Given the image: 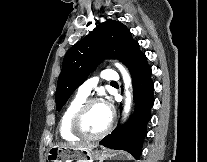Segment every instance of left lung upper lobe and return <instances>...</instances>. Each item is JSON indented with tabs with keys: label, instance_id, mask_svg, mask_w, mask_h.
I'll use <instances>...</instances> for the list:
<instances>
[{
	"label": "left lung upper lobe",
	"instance_id": "obj_1",
	"mask_svg": "<svg viewBox=\"0 0 207 162\" xmlns=\"http://www.w3.org/2000/svg\"><path fill=\"white\" fill-rule=\"evenodd\" d=\"M141 53L139 44L132 39L125 25L110 19L99 23L64 57L56 91V110L62 108L73 91L103 59H119L128 67Z\"/></svg>",
	"mask_w": 207,
	"mask_h": 162
}]
</instances>
